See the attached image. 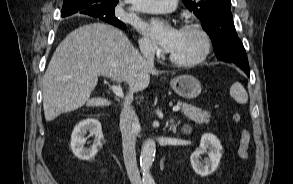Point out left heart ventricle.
<instances>
[{
	"instance_id": "b2bd125f",
	"label": "left heart ventricle",
	"mask_w": 293,
	"mask_h": 184,
	"mask_svg": "<svg viewBox=\"0 0 293 184\" xmlns=\"http://www.w3.org/2000/svg\"><path fill=\"white\" fill-rule=\"evenodd\" d=\"M202 44V39L196 31L181 30L180 38L170 54L178 59L189 60L201 52Z\"/></svg>"
}]
</instances>
